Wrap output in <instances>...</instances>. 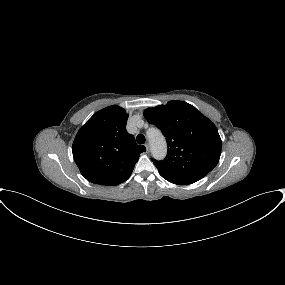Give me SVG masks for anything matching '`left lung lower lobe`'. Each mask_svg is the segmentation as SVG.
Here are the masks:
<instances>
[{
	"label": "left lung lower lobe",
	"instance_id": "obj_1",
	"mask_svg": "<svg viewBox=\"0 0 285 285\" xmlns=\"http://www.w3.org/2000/svg\"><path fill=\"white\" fill-rule=\"evenodd\" d=\"M162 177L171 183L179 184V185L192 184L198 181V180L190 179V178H179V177H171V176H162Z\"/></svg>",
	"mask_w": 285,
	"mask_h": 285
}]
</instances>
